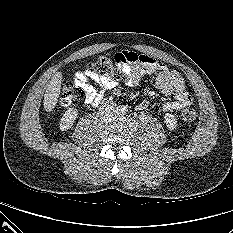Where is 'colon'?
<instances>
[{
    "label": "colon",
    "instance_id": "1",
    "mask_svg": "<svg viewBox=\"0 0 233 233\" xmlns=\"http://www.w3.org/2000/svg\"><path fill=\"white\" fill-rule=\"evenodd\" d=\"M89 69L117 81L127 77L124 63L117 57L112 59L101 56L90 65ZM82 94L83 91L81 89L74 86L72 83H66L62 87L59 102L61 105L67 106L79 99ZM181 118L185 123H192L197 118V111L192 106H186L181 112Z\"/></svg>",
    "mask_w": 233,
    "mask_h": 233
}]
</instances>
